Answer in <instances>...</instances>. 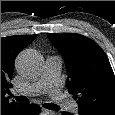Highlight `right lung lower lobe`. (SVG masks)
<instances>
[{"instance_id":"right-lung-lower-lobe-1","label":"right lung lower lobe","mask_w":115,"mask_h":115,"mask_svg":"<svg viewBox=\"0 0 115 115\" xmlns=\"http://www.w3.org/2000/svg\"><path fill=\"white\" fill-rule=\"evenodd\" d=\"M40 107L35 104H22L20 107L9 110L5 114L2 115H37L40 113Z\"/></svg>"}]
</instances>
